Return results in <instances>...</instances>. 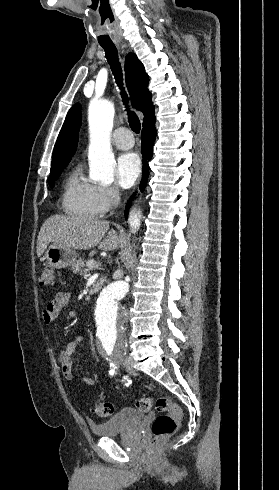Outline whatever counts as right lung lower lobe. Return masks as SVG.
Returning a JSON list of instances; mask_svg holds the SVG:
<instances>
[{
	"mask_svg": "<svg viewBox=\"0 0 279 490\" xmlns=\"http://www.w3.org/2000/svg\"><path fill=\"white\" fill-rule=\"evenodd\" d=\"M156 136V131H155V126L154 127H146L142 131V144H141V150H142V157H143V176H142V181L140 184V190L143 191L145 188L146 180L148 178V162L147 160H150L152 158V152H153V145H154V140ZM128 208V204H127ZM125 215H127V210L125 211Z\"/></svg>",
	"mask_w": 279,
	"mask_h": 490,
	"instance_id": "98d812e1",
	"label": "right lung lower lobe"
}]
</instances>
